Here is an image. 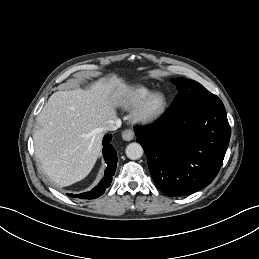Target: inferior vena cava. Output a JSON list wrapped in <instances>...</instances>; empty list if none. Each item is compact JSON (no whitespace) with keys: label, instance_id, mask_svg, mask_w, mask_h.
I'll use <instances>...</instances> for the list:
<instances>
[{"label":"inferior vena cava","instance_id":"602c4592","mask_svg":"<svg viewBox=\"0 0 259 259\" xmlns=\"http://www.w3.org/2000/svg\"><path fill=\"white\" fill-rule=\"evenodd\" d=\"M120 126V121L118 119H115V120H112L110 123L104 125L102 127V130L104 132H107V131H115L117 130V128Z\"/></svg>","mask_w":259,"mask_h":259}]
</instances>
